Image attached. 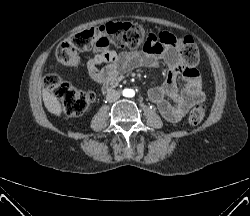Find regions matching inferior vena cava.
<instances>
[{"label": "inferior vena cava", "instance_id": "1", "mask_svg": "<svg viewBox=\"0 0 250 216\" xmlns=\"http://www.w3.org/2000/svg\"><path fill=\"white\" fill-rule=\"evenodd\" d=\"M120 98V92L116 90H110L107 93L106 99L108 102H115Z\"/></svg>", "mask_w": 250, "mask_h": 216}]
</instances>
